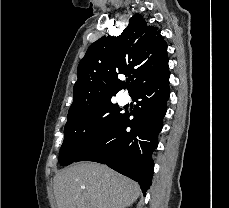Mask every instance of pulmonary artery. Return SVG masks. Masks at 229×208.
<instances>
[{"mask_svg": "<svg viewBox=\"0 0 229 208\" xmlns=\"http://www.w3.org/2000/svg\"><path fill=\"white\" fill-rule=\"evenodd\" d=\"M129 96L127 95V94H125V95H122L120 98H119V102L121 103V104H125V103H127L128 101H129Z\"/></svg>", "mask_w": 229, "mask_h": 208, "instance_id": "pulmonary-artery-1", "label": "pulmonary artery"}]
</instances>
